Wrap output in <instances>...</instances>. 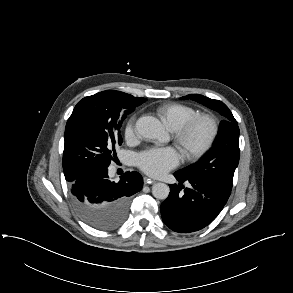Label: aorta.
<instances>
[{
  "mask_svg": "<svg viewBox=\"0 0 293 293\" xmlns=\"http://www.w3.org/2000/svg\"><path fill=\"white\" fill-rule=\"evenodd\" d=\"M137 133L148 140L163 143L167 140V133L162 123L153 116H142L136 121ZM170 188L165 183H156L152 187V194L156 199L164 200L168 197Z\"/></svg>",
  "mask_w": 293,
  "mask_h": 293,
  "instance_id": "1",
  "label": "aorta"
}]
</instances>
